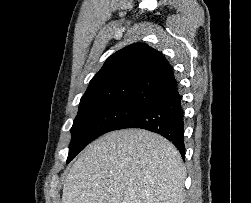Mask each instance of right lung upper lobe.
Here are the masks:
<instances>
[{"instance_id": "cb5924a9", "label": "right lung upper lobe", "mask_w": 251, "mask_h": 203, "mask_svg": "<svg viewBox=\"0 0 251 203\" xmlns=\"http://www.w3.org/2000/svg\"><path fill=\"white\" fill-rule=\"evenodd\" d=\"M177 91L171 65L157 50L135 43L112 54L91 79L80 105H152Z\"/></svg>"}]
</instances>
